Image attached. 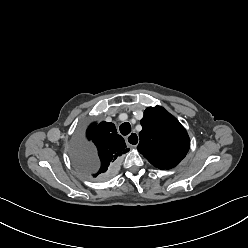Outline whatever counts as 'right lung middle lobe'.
Instances as JSON below:
<instances>
[{"label": "right lung middle lobe", "mask_w": 248, "mask_h": 248, "mask_svg": "<svg viewBox=\"0 0 248 248\" xmlns=\"http://www.w3.org/2000/svg\"><path fill=\"white\" fill-rule=\"evenodd\" d=\"M72 159L78 170L84 175L92 174L98 166L95 149L92 145L78 139L72 148Z\"/></svg>", "instance_id": "1"}]
</instances>
